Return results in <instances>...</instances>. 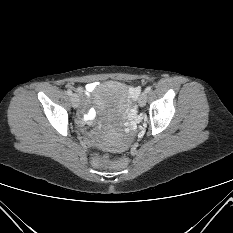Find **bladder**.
<instances>
[{
	"label": "bladder",
	"mask_w": 233,
	"mask_h": 233,
	"mask_svg": "<svg viewBox=\"0 0 233 233\" xmlns=\"http://www.w3.org/2000/svg\"><path fill=\"white\" fill-rule=\"evenodd\" d=\"M95 107L101 113L108 116H119L124 113L128 103V88L119 81H108L99 86L94 91ZM103 146L121 150L122 142L110 139H102Z\"/></svg>",
	"instance_id": "obj_1"
}]
</instances>
